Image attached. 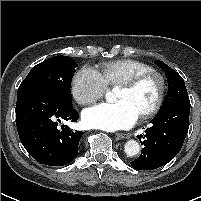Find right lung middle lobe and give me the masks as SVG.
<instances>
[{
  "label": "right lung middle lobe",
  "instance_id": "dd1d6c3e",
  "mask_svg": "<svg viewBox=\"0 0 201 201\" xmlns=\"http://www.w3.org/2000/svg\"><path fill=\"white\" fill-rule=\"evenodd\" d=\"M78 64L69 56H54L34 66L18 88L17 97L44 90L72 104L70 86Z\"/></svg>",
  "mask_w": 201,
  "mask_h": 201
}]
</instances>
